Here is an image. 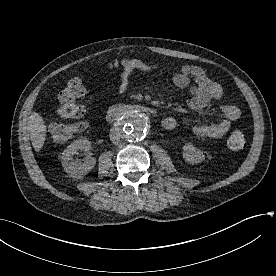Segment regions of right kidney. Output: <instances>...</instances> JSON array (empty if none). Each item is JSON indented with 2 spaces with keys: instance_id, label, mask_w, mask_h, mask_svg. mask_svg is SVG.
Returning <instances> with one entry per match:
<instances>
[{
  "instance_id": "ca27d5eb",
  "label": "right kidney",
  "mask_w": 276,
  "mask_h": 276,
  "mask_svg": "<svg viewBox=\"0 0 276 276\" xmlns=\"http://www.w3.org/2000/svg\"><path fill=\"white\" fill-rule=\"evenodd\" d=\"M91 143L86 138H81L72 142L62 153L61 163L65 172L75 178H81L89 173L95 166L96 160L94 157L87 155L84 162L78 159H73L72 156L78 154V151H89Z\"/></svg>"
}]
</instances>
